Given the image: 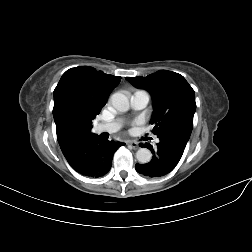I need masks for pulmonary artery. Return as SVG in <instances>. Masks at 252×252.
Listing matches in <instances>:
<instances>
[{"label": "pulmonary artery", "mask_w": 252, "mask_h": 252, "mask_svg": "<svg viewBox=\"0 0 252 252\" xmlns=\"http://www.w3.org/2000/svg\"><path fill=\"white\" fill-rule=\"evenodd\" d=\"M150 96L146 91H136L131 96V106L135 110L143 109L147 106L149 103ZM120 128V122L119 121H112L107 123H100L95 126V132L96 133H114ZM156 142H159L158 139H156Z\"/></svg>", "instance_id": "obj_1"}]
</instances>
